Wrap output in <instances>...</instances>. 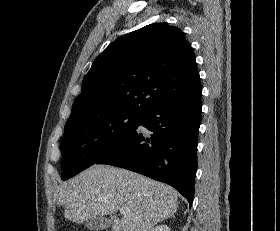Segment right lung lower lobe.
<instances>
[{
	"mask_svg": "<svg viewBox=\"0 0 280 231\" xmlns=\"http://www.w3.org/2000/svg\"><path fill=\"white\" fill-rule=\"evenodd\" d=\"M201 93L202 90L173 98L145 112L137 128L95 164L125 168L165 182L178 190L191 207ZM139 126L146 130L141 131Z\"/></svg>",
	"mask_w": 280,
	"mask_h": 231,
	"instance_id": "obj_1",
	"label": "right lung lower lobe"
}]
</instances>
